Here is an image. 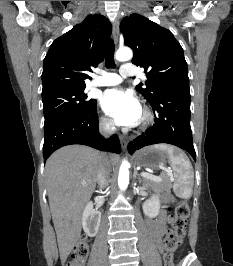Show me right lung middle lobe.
<instances>
[{
    "label": "right lung middle lobe",
    "instance_id": "obj_1",
    "mask_svg": "<svg viewBox=\"0 0 233 266\" xmlns=\"http://www.w3.org/2000/svg\"><path fill=\"white\" fill-rule=\"evenodd\" d=\"M84 88L62 89L42 94L45 123L65 115H72L90 110L95 99H87Z\"/></svg>",
    "mask_w": 233,
    "mask_h": 266
}]
</instances>
